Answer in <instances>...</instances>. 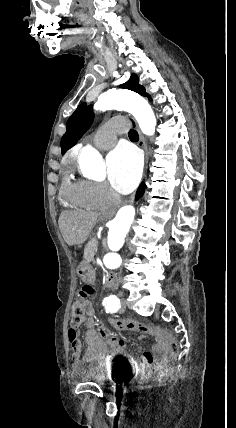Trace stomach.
<instances>
[{
	"mask_svg": "<svg viewBox=\"0 0 236 428\" xmlns=\"http://www.w3.org/2000/svg\"><path fill=\"white\" fill-rule=\"evenodd\" d=\"M78 272L79 278L85 287H88L89 285L93 286L97 282V275L94 274V267L89 260H86L80 265Z\"/></svg>",
	"mask_w": 236,
	"mask_h": 428,
	"instance_id": "0dacf381",
	"label": "stomach"
}]
</instances>
